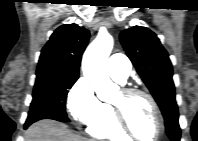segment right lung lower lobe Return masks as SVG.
<instances>
[{
    "label": "right lung lower lobe",
    "mask_w": 198,
    "mask_h": 141,
    "mask_svg": "<svg viewBox=\"0 0 198 141\" xmlns=\"http://www.w3.org/2000/svg\"><path fill=\"white\" fill-rule=\"evenodd\" d=\"M29 125H25V128H27Z\"/></svg>",
    "instance_id": "obj_1"
}]
</instances>
